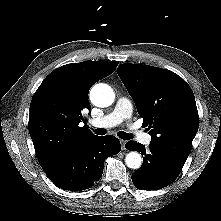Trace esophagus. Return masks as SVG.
Wrapping results in <instances>:
<instances>
[{"mask_svg": "<svg viewBox=\"0 0 221 221\" xmlns=\"http://www.w3.org/2000/svg\"><path fill=\"white\" fill-rule=\"evenodd\" d=\"M120 142H121L122 150H125L126 149L125 148L126 141L121 140Z\"/></svg>", "mask_w": 221, "mask_h": 221, "instance_id": "34e87169", "label": "esophagus"}]
</instances>
